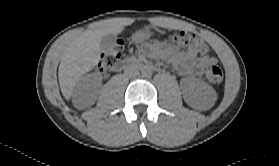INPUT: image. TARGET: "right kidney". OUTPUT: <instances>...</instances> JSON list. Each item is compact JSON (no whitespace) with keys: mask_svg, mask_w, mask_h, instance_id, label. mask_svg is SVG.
Returning <instances> with one entry per match:
<instances>
[{"mask_svg":"<svg viewBox=\"0 0 279 166\" xmlns=\"http://www.w3.org/2000/svg\"><path fill=\"white\" fill-rule=\"evenodd\" d=\"M101 78L97 75L82 78L74 90V98L81 106H85L96 96L97 90L101 87Z\"/></svg>","mask_w":279,"mask_h":166,"instance_id":"ca27d5eb","label":"right kidney"}]
</instances>
